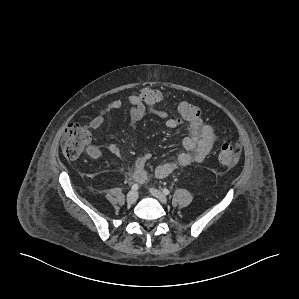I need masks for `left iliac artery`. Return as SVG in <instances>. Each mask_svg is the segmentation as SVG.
<instances>
[{"mask_svg":"<svg viewBox=\"0 0 299 299\" xmlns=\"http://www.w3.org/2000/svg\"><path fill=\"white\" fill-rule=\"evenodd\" d=\"M162 191H163V193L165 195H169L170 194V191L167 188H164Z\"/></svg>","mask_w":299,"mask_h":299,"instance_id":"44dca946","label":"left iliac artery"}]
</instances>
